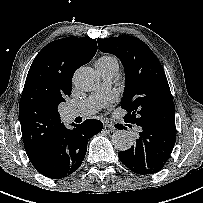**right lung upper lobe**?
Masks as SVG:
<instances>
[{
	"mask_svg": "<svg viewBox=\"0 0 203 203\" xmlns=\"http://www.w3.org/2000/svg\"><path fill=\"white\" fill-rule=\"evenodd\" d=\"M96 51L95 39L66 37L47 44L34 59L19 104L24 147L31 163L45 154L62 128L58 105L71 94L74 72Z\"/></svg>",
	"mask_w": 203,
	"mask_h": 203,
	"instance_id": "cb5924a9",
	"label": "right lung upper lobe"
}]
</instances>
